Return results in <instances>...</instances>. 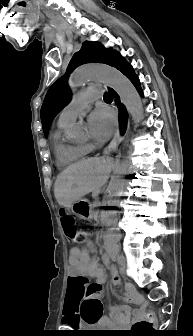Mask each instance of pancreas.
Listing matches in <instances>:
<instances>
[{"mask_svg": "<svg viewBox=\"0 0 193 336\" xmlns=\"http://www.w3.org/2000/svg\"><path fill=\"white\" fill-rule=\"evenodd\" d=\"M93 212L95 213V218L99 219L101 215V210L103 209L101 200H98V202H95L93 205Z\"/></svg>", "mask_w": 193, "mask_h": 336, "instance_id": "1", "label": "pancreas"}]
</instances>
